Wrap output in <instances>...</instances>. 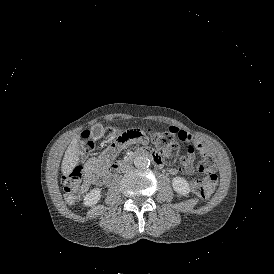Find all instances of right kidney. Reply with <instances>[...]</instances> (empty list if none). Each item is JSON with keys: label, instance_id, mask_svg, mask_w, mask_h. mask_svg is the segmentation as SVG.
I'll return each mask as SVG.
<instances>
[{"label": "right kidney", "instance_id": "1", "mask_svg": "<svg viewBox=\"0 0 274 274\" xmlns=\"http://www.w3.org/2000/svg\"><path fill=\"white\" fill-rule=\"evenodd\" d=\"M100 198L99 189L93 190L90 194H88L85 198L86 205H94Z\"/></svg>", "mask_w": 274, "mask_h": 274}]
</instances>
